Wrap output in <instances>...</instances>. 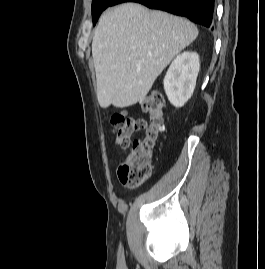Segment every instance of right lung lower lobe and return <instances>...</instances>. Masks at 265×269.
<instances>
[{
    "label": "right lung lower lobe",
    "instance_id": "98d812e1",
    "mask_svg": "<svg viewBox=\"0 0 265 269\" xmlns=\"http://www.w3.org/2000/svg\"><path fill=\"white\" fill-rule=\"evenodd\" d=\"M215 0H114L110 6L137 2L151 9H159L169 13L184 16L191 21L210 27L213 21Z\"/></svg>",
    "mask_w": 265,
    "mask_h": 269
}]
</instances>
